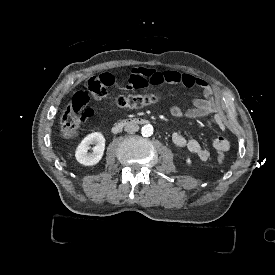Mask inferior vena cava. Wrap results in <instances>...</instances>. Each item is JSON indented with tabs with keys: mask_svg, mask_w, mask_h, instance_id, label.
Wrapping results in <instances>:
<instances>
[{
	"mask_svg": "<svg viewBox=\"0 0 275 275\" xmlns=\"http://www.w3.org/2000/svg\"><path fill=\"white\" fill-rule=\"evenodd\" d=\"M124 130L128 133L137 132L139 130V126L134 123H129L124 127Z\"/></svg>",
	"mask_w": 275,
	"mask_h": 275,
	"instance_id": "1",
	"label": "inferior vena cava"
}]
</instances>
